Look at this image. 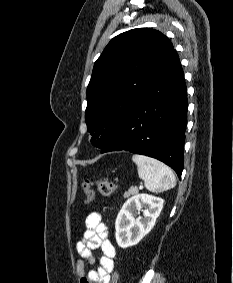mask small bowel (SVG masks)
<instances>
[{
	"mask_svg": "<svg viewBox=\"0 0 233 283\" xmlns=\"http://www.w3.org/2000/svg\"><path fill=\"white\" fill-rule=\"evenodd\" d=\"M83 238L77 242L76 250L80 255L76 268L80 283H110L115 269L116 250L108 238V228L98 212L90 213L85 220ZM101 249L102 256L97 269L87 271V264H94L93 250Z\"/></svg>",
	"mask_w": 233,
	"mask_h": 283,
	"instance_id": "small-bowel-1",
	"label": "small bowel"
}]
</instances>
